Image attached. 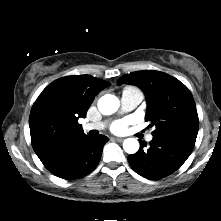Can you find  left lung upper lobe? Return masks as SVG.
<instances>
[{
    "label": "left lung upper lobe",
    "instance_id": "left-lung-upper-lobe-1",
    "mask_svg": "<svg viewBox=\"0 0 221 221\" xmlns=\"http://www.w3.org/2000/svg\"><path fill=\"white\" fill-rule=\"evenodd\" d=\"M133 84L146 95V121L155 125L153 136H175L195 143L199 120L192 94L176 78L159 71L125 74L118 84Z\"/></svg>",
    "mask_w": 221,
    "mask_h": 221
}]
</instances>
